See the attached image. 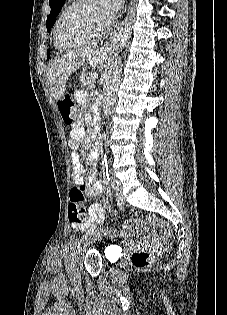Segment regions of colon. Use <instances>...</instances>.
<instances>
[{"label":"colon","mask_w":227,"mask_h":315,"mask_svg":"<svg viewBox=\"0 0 227 315\" xmlns=\"http://www.w3.org/2000/svg\"><path fill=\"white\" fill-rule=\"evenodd\" d=\"M58 106L63 121L70 125L76 116L75 104L70 96H65L59 100ZM84 185L78 184L71 189L69 194L68 216L69 220L76 224L85 223L88 220L89 212L86 210V200L84 196ZM149 227L164 229L165 224L155 216H148L144 219H129L122 224V233L125 235H140L148 230ZM110 237L116 235L114 228H109L104 232ZM153 262V256L142 250L132 254V263L139 268L149 266Z\"/></svg>","instance_id":"colon-1"}]
</instances>
